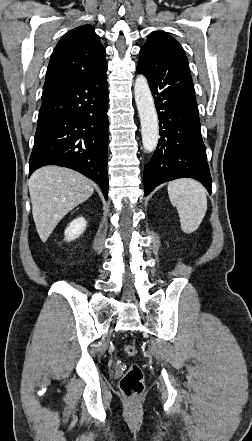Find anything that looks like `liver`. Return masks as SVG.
Masks as SVG:
<instances>
[{"label":"liver","mask_w":252,"mask_h":441,"mask_svg":"<svg viewBox=\"0 0 252 441\" xmlns=\"http://www.w3.org/2000/svg\"><path fill=\"white\" fill-rule=\"evenodd\" d=\"M32 215L40 239L45 242L62 218L94 192L93 183L64 167L45 166L30 177Z\"/></svg>","instance_id":"6515ba94"}]
</instances>
